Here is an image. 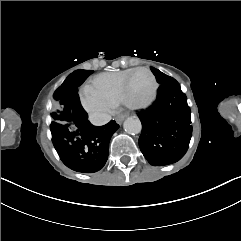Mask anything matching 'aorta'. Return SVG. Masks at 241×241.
Masks as SVG:
<instances>
[{"instance_id": "762f6f07", "label": "aorta", "mask_w": 241, "mask_h": 241, "mask_svg": "<svg viewBox=\"0 0 241 241\" xmlns=\"http://www.w3.org/2000/svg\"><path fill=\"white\" fill-rule=\"evenodd\" d=\"M123 128L126 133L135 135L141 132L142 124L138 118L129 117L124 121Z\"/></svg>"}]
</instances>
